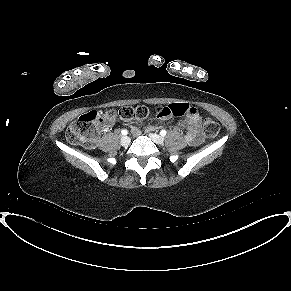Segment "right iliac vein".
I'll return each instance as SVG.
<instances>
[{
	"label": "right iliac vein",
	"mask_w": 291,
	"mask_h": 291,
	"mask_svg": "<svg viewBox=\"0 0 291 291\" xmlns=\"http://www.w3.org/2000/svg\"><path fill=\"white\" fill-rule=\"evenodd\" d=\"M120 143L122 146L126 147L130 144V138L128 136H123Z\"/></svg>",
	"instance_id": "right-iliac-vein-1"
}]
</instances>
